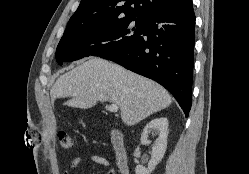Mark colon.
Instances as JSON below:
<instances>
[{
  "mask_svg": "<svg viewBox=\"0 0 249 174\" xmlns=\"http://www.w3.org/2000/svg\"><path fill=\"white\" fill-rule=\"evenodd\" d=\"M59 142L63 150L71 151L74 149V140L69 133L61 131L58 134Z\"/></svg>",
  "mask_w": 249,
  "mask_h": 174,
  "instance_id": "5ec220e1",
  "label": "colon"
}]
</instances>
